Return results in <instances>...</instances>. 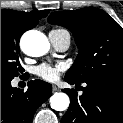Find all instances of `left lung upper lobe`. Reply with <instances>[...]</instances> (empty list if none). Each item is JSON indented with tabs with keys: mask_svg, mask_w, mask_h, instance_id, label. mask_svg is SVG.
Returning <instances> with one entry per match:
<instances>
[{
	"mask_svg": "<svg viewBox=\"0 0 123 123\" xmlns=\"http://www.w3.org/2000/svg\"><path fill=\"white\" fill-rule=\"evenodd\" d=\"M48 22L68 28L79 48L66 78L83 83L106 76L123 77V29L103 10L87 7L54 12Z\"/></svg>",
	"mask_w": 123,
	"mask_h": 123,
	"instance_id": "obj_1",
	"label": "left lung upper lobe"
}]
</instances>
